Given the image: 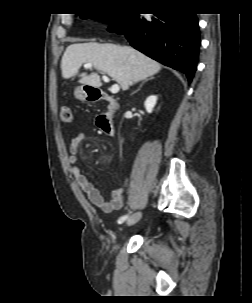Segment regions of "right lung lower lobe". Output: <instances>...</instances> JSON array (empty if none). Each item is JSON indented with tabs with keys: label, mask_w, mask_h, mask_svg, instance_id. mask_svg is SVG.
Here are the masks:
<instances>
[{
	"label": "right lung lower lobe",
	"mask_w": 252,
	"mask_h": 303,
	"mask_svg": "<svg viewBox=\"0 0 252 303\" xmlns=\"http://www.w3.org/2000/svg\"><path fill=\"white\" fill-rule=\"evenodd\" d=\"M154 15L146 19L142 14H128L108 30L125 34L135 49L183 72L191 82L200 44L196 15L173 11Z\"/></svg>",
	"instance_id": "right-lung-lower-lobe-1"
}]
</instances>
